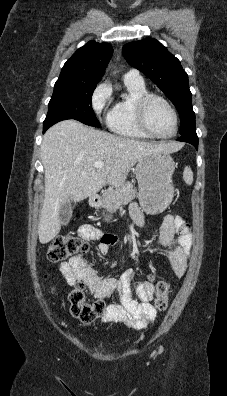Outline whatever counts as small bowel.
Returning a JSON list of instances; mask_svg holds the SVG:
<instances>
[{"instance_id":"c3829d8e","label":"small bowel","mask_w":227,"mask_h":396,"mask_svg":"<svg viewBox=\"0 0 227 396\" xmlns=\"http://www.w3.org/2000/svg\"><path fill=\"white\" fill-rule=\"evenodd\" d=\"M130 214L134 221L144 226V217L137 204H132ZM79 236L84 240L99 241L101 255L108 253L116 241L113 235H103L91 225L80 227ZM190 227L177 215L168 214L160 225L156 245L169 248L168 261L176 275L182 277L186 271L192 249ZM60 271L69 285L83 281L89 293L96 299H104L114 294L118 303L110 304L102 317V322H119L141 330L156 318L157 312L151 301L155 287L150 281H140L132 270L125 271L119 280L101 278L90 268L82 255H76L60 265Z\"/></svg>"}]
</instances>
